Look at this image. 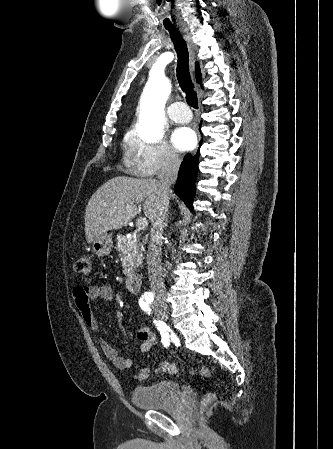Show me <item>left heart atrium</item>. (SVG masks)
<instances>
[{"instance_id": "left-heart-atrium-1", "label": "left heart atrium", "mask_w": 333, "mask_h": 449, "mask_svg": "<svg viewBox=\"0 0 333 449\" xmlns=\"http://www.w3.org/2000/svg\"><path fill=\"white\" fill-rule=\"evenodd\" d=\"M171 141L177 150L186 151L195 145L196 135L189 127H179L173 132Z\"/></svg>"}]
</instances>
